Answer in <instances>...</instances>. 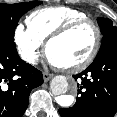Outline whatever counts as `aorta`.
<instances>
[{
  "label": "aorta",
  "mask_w": 117,
  "mask_h": 117,
  "mask_svg": "<svg viewBox=\"0 0 117 117\" xmlns=\"http://www.w3.org/2000/svg\"><path fill=\"white\" fill-rule=\"evenodd\" d=\"M69 86V82L64 76H57L51 82V91L56 96V102L61 107H70L74 103V97L65 94Z\"/></svg>",
  "instance_id": "762f6f07"
}]
</instances>
